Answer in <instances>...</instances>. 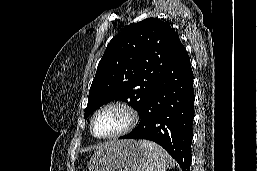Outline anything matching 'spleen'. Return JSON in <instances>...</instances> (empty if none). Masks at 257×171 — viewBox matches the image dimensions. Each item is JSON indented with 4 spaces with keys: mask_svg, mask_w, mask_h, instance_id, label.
I'll return each instance as SVG.
<instances>
[{
    "mask_svg": "<svg viewBox=\"0 0 257 171\" xmlns=\"http://www.w3.org/2000/svg\"><path fill=\"white\" fill-rule=\"evenodd\" d=\"M138 144L144 149L146 157L142 171H166L175 166L169 154L158 144L147 140H139Z\"/></svg>",
    "mask_w": 257,
    "mask_h": 171,
    "instance_id": "3e777b00",
    "label": "spleen"
}]
</instances>
